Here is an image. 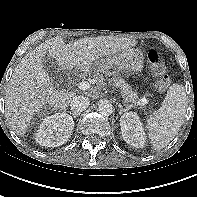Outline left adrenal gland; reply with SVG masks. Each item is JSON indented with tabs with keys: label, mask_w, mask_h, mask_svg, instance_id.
I'll return each mask as SVG.
<instances>
[{
	"label": "left adrenal gland",
	"mask_w": 197,
	"mask_h": 197,
	"mask_svg": "<svg viewBox=\"0 0 197 197\" xmlns=\"http://www.w3.org/2000/svg\"><path fill=\"white\" fill-rule=\"evenodd\" d=\"M118 107L120 108L119 115H122V113L127 112V109L123 108L122 104H119Z\"/></svg>",
	"instance_id": "obj_1"
}]
</instances>
